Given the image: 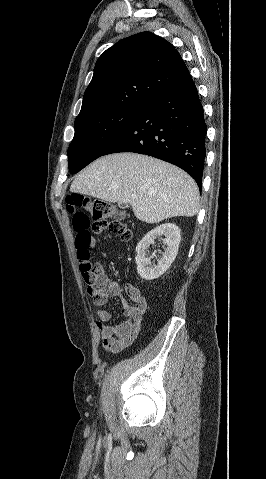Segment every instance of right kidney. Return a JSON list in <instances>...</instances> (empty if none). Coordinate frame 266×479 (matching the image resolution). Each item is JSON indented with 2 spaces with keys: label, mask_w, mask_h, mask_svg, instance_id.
<instances>
[{
  "label": "right kidney",
  "mask_w": 266,
  "mask_h": 479,
  "mask_svg": "<svg viewBox=\"0 0 266 479\" xmlns=\"http://www.w3.org/2000/svg\"><path fill=\"white\" fill-rule=\"evenodd\" d=\"M160 236L165 237L163 243L166 248L157 265H151L150 259L146 257V250ZM180 240V229L173 223L162 224L148 232L136 247L135 261L140 277L144 280H153L164 274L177 256Z\"/></svg>",
  "instance_id": "1"
}]
</instances>
